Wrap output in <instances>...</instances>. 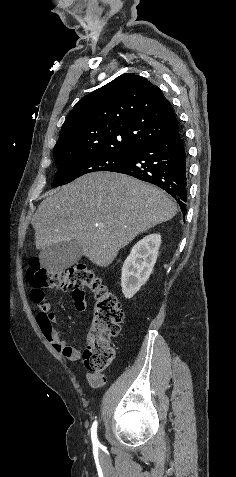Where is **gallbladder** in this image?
I'll list each match as a JSON object with an SVG mask.
<instances>
[{
  "label": "gallbladder",
  "instance_id": "gallbladder-1",
  "mask_svg": "<svg viewBox=\"0 0 236 477\" xmlns=\"http://www.w3.org/2000/svg\"><path fill=\"white\" fill-rule=\"evenodd\" d=\"M81 246L76 240L59 242L43 249L40 262L49 271H63L80 260Z\"/></svg>",
  "mask_w": 236,
  "mask_h": 477
}]
</instances>
